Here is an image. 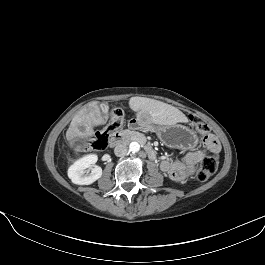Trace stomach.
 I'll list each match as a JSON object with an SVG mask.
<instances>
[{
    "mask_svg": "<svg viewBox=\"0 0 265 265\" xmlns=\"http://www.w3.org/2000/svg\"><path fill=\"white\" fill-rule=\"evenodd\" d=\"M142 129L156 133L167 146L188 149L196 146L198 137L194 131L180 124L156 125L145 120H138Z\"/></svg>",
    "mask_w": 265,
    "mask_h": 265,
    "instance_id": "stomach-1",
    "label": "stomach"
}]
</instances>
